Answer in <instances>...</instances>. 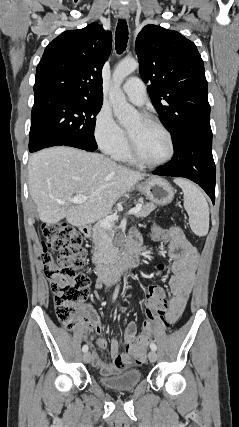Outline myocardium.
<instances>
[{
	"instance_id": "1",
	"label": "myocardium",
	"mask_w": 239,
	"mask_h": 427,
	"mask_svg": "<svg viewBox=\"0 0 239 427\" xmlns=\"http://www.w3.org/2000/svg\"><path fill=\"white\" fill-rule=\"evenodd\" d=\"M139 117L143 121H145L146 123H149V124L159 128L167 136V138L169 140V144H170V152L165 159H163L159 162L147 161L139 154L131 136L127 132V143L126 144H127L128 153H129L131 159L140 165H143L146 167H151V168L161 167V166L166 165L167 163H169L174 158L175 153H176V146H175V141H174L172 133L163 123H161L159 120H157L156 118H154L153 116H151L149 114L142 113L139 115Z\"/></svg>"
}]
</instances>
